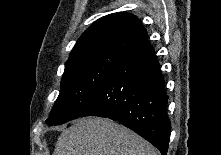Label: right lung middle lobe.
Here are the masks:
<instances>
[{
    "label": "right lung middle lobe",
    "mask_w": 221,
    "mask_h": 155,
    "mask_svg": "<svg viewBox=\"0 0 221 155\" xmlns=\"http://www.w3.org/2000/svg\"><path fill=\"white\" fill-rule=\"evenodd\" d=\"M124 56L104 53L78 59L65 67L61 92L46 122L59 125L79 118L111 70Z\"/></svg>",
    "instance_id": "dd1d6c3e"
}]
</instances>
